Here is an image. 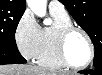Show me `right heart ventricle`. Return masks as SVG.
Instances as JSON below:
<instances>
[{
	"instance_id": "obj_1",
	"label": "right heart ventricle",
	"mask_w": 102,
	"mask_h": 75,
	"mask_svg": "<svg viewBox=\"0 0 102 75\" xmlns=\"http://www.w3.org/2000/svg\"><path fill=\"white\" fill-rule=\"evenodd\" d=\"M52 24L42 27L40 30V44L36 56L39 65L49 68H61L64 64L59 60L56 52L55 40L58 31L72 24L67 12L50 11Z\"/></svg>"
}]
</instances>
